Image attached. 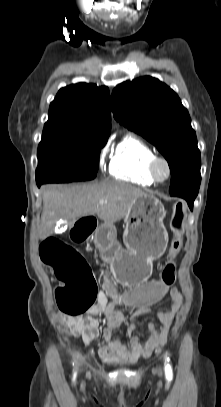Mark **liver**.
I'll return each mask as SVG.
<instances>
[{
    "label": "liver",
    "instance_id": "obj_1",
    "mask_svg": "<svg viewBox=\"0 0 221 407\" xmlns=\"http://www.w3.org/2000/svg\"><path fill=\"white\" fill-rule=\"evenodd\" d=\"M146 193L117 181H104L78 186L47 185L43 192V211L38 237H49L59 220L74 224L79 218L97 214L107 224L124 218L134 200ZM100 200H106L100 204Z\"/></svg>",
    "mask_w": 221,
    "mask_h": 407
}]
</instances>
